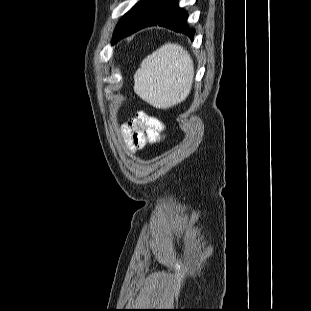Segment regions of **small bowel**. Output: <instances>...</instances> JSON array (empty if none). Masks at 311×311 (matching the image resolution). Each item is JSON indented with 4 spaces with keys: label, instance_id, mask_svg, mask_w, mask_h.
Listing matches in <instances>:
<instances>
[{
    "label": "small bowel",
    "instance_id": "small-bowel-1",
    "mask_svg": "<svg viewBox=\"0 0 311 311\" xmlns=\"http://www.w3.org/2000/svg\"><path fill=\"white\" fill-rule=\"evenodd\" d=\"M163 124L158 120L139 113L137 118L130 119L122 126V136L126 147L135 152L144 148L148 143H160V131Z\"/></svg>",
    "mask_w": 311,
    "mask_h": 311
}]
</instances>
